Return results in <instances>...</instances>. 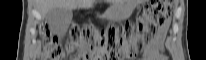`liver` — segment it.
I'll list each match as a JSON object with an SVG mask.
<instances>
[{
    "mask_svg": "<svg viewBox=\"0 0 206 60\" xmlns=\"http://www.w3.org/2000/svg\"><path fill=\"white\" fill-rule=\"evenodd\" d=\"M92 0H38V9L43 16H46L48 11L56 8L75 9L78 6L90 4Z\"/></svg>",
    "mask_w": 206,
    "mask_h": 60,
    "instance_id": "1",
    "label": "liver"
}]
</instances>
